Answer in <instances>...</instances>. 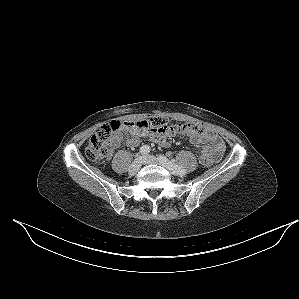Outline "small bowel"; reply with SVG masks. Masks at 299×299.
I'll use <instances>...</instances> for the list:
<instances>
[{"mask_svg":"<svg viewBox=\"0 0 299 299\" xmlns=\"http://www.w3.org/2000/svg\"><path fill=\"white\" fill-rule=\"evenodd\" d=\"M123 129L130 135L127 138V144L129 146H137L140 142V138L142 137L158 139L163 136L174 135L169 133H158L149 129H138L130 127H123ZM189 140L192 144H204L200 157L206 156L212 161V163L219 161L225 151V143L223 139L213 131L206 129L203 126L201 127L200 131L190 134ZM160 143L163 146L167 145V142L165 140H161ZM118 144L119 139H114L113 148Z\"/></svg>","mask_w":299,"mask_h":299,"instance_id":"small-bowel-1","label":"small bowel"}]
</instances>
